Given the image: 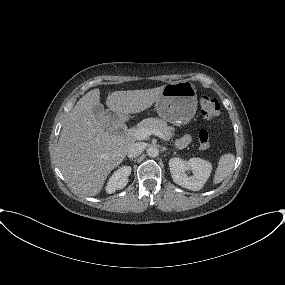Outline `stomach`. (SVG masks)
Listing matches in <instances>:
<instances>
[{
    "instance_id": "0dacf381",
    "label": "stomach",
    "mask_w": 285,
    "mask_h": 285,
    "mask_svg": "<svg viewBox=\"0 0 285 285\" xmlns=\"http://www.w3.org/2000/svg\"><path fill=\"white\" fill-rule=\"evenodd\" d=\"M155 107L164 121L175 125L187 124L197 110L195 86L189 81L166 84Z\"/></svg>"
}]
</instances>
